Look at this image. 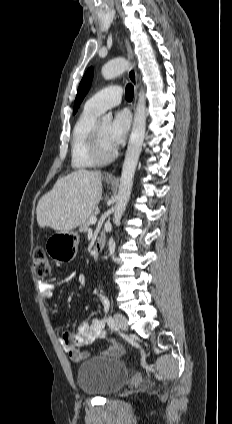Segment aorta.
<instances>
[{
  "label": "aorta",
  "mask_w": 232,
  "mask_h": 424,
  "mask_svg": "<svg viewBox=\"0 0 232 424\" xmlns=\"http://www.w3.org/2000/svg\"><path fill=\"white\" fill-rule=\"evenodd\" d=\"M130 65L126 59L116 58L102 67V76L106 80H111L129 69ZM113 116L108 113L102 117V121L107 123L112 120ZM146 130V100L144 91L141 89L139 93V99L137 102L134 121L132 126V132L129 138L128 147L125 154V159L122 167L120 185L117 195V202L114 206L113 222L117 223L120 221L127 203L130 198L133 178L136 170V166L139 160V156L142 150V145L145 138Z\"/></svg>",
  "instance_id": "aorta-1"
}]
</instances>
